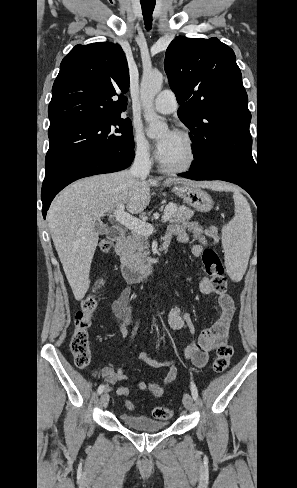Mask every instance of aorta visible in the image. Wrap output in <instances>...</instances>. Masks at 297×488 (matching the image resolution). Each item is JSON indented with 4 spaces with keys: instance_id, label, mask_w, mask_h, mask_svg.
<instances>
[{
    "instance_id": "1",
    "label": "aorta",
    "mask_w": 297,
    "mask_h": 488,
    "mask_svg": "<svg viewBox=\"0 0 297 488\" xmlns=\"http://www.w3.org/2000/svg\"><path fill=\"white\" fill-rule=\"evenodd\" d=\"M163 74L159 71L144 73L140 83V99L143 115L148 123V134L155 136L167 128V124L153 110L155 95L161 90Z\"/></svg>"
}]
</instances>
